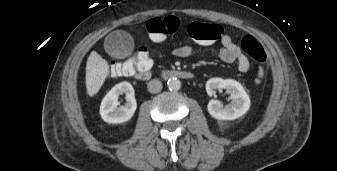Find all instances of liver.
Here are the masks:
<instances>
[{"mask_svg":"<svg viewBox=\"0 0 337 171\" xmlns=\"http://www.w3.org/2000/svg\"><path fill=\"white\" fill-rule=\"evenodd\" d=\"M108 74V62L96 51H92L86 64V88L89 96H94L100 90Z\"/></svg>","mask_w":337,"mask_h":171,"instance_id":"1","label":"liver"}]
</instances>
